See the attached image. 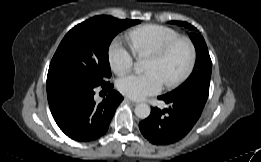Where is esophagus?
Instances as JSON below:
<instances>
[{"label": "esophagus", "mask_w": 261, "mask_h": 162, "mask_svg": "<svg viewBox=\"0 0 261 162\" xmlns=\"http://www.w3.org/2000/svg\"><path fill=\"white\" fill-rule=\"evenodd\" d=\"M124 100H125L126 102L132 104V105H136V104H137V102L132 101V100H130V99H128V98H124Z\"/></svg>", "instance_id": "34e87169"}]
</instances>
